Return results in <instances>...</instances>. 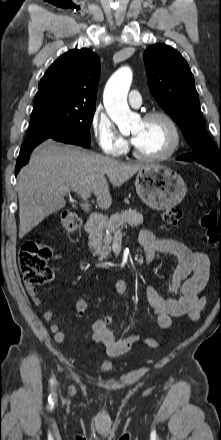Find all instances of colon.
Instances as JSON below:
<instances>
[{
	"instance_id": "colon-1",
	"label": "colon",
	"mask_w": 221,
	"mask_h": 440,
	"mask_svg": "<svg viewBox=\"0 0 221 440\" xmlns=\"http://www.w3.org/2000/svg\"><path fill=\"white\" fill-rule=\"evenodd\" d=\"M182 219V211L178 207H171L164 211L163 220L168 225H177ZM201 225L205 229L206 241L212 248L221 247V221L212 214L205 215L201 219ZM81 226L80 217L73 212H64L61 217V228L65 232H73ZM52 251L49 246L36 240H28L23 243L19 255L18 265L24 276V280L30 286H39L49 282L53 277V271L48 262ZM76 313L82 315L88 309L85 300H79L75 305ZM104 324H113L114 316H103Z\"/></svg>"
}]
</instances>
